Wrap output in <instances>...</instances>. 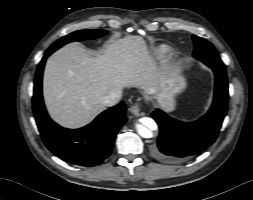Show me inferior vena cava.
Instances as JSON below:
<instances>
[{
    "label": "inferior vena cava",
    "mask_w": 253,
    "mask_h": 200,
    "mask_svg": "<svg viewBox=\"0 0 253 200\" xmlns=\"http://www.w3.org/2000/svg\"><path fill=\"white\" fill-rule=\"evenodd\" d=\"M121 97L122 90L112 91L103 98V103L107 106H113L120 101Z\"/></svg>",
    "instance_id": "inferior-vena-cava-1"
}]
</instances>
